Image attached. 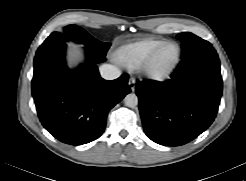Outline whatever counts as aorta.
<instances>
[{
    "label": "aorta",
    "instance_id": "1",
    "mask_svg": "<svg viewBox=\"0 0 246 181\" xmlns=\"http://www.w3.org/2000/svg\"><path fill=\"white\" fill-rule=\"evenodd\" d=\"M124 103L127 107L134 108L138 105V97L134 93L125 96Z\"/></svg>",
    "mask_w": 246,
    "mask_h": 181
}]
</instances>
